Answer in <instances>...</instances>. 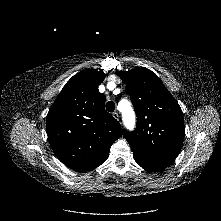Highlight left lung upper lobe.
Here are the masks:
<instances>
[{
    "label": "left lung upper lobe",
    "instance_id": "left-lung-upper-lobe-1",
    "mask_svg": "<svg viewBox=\"0 0 221 221\" xmlns=\"http://www.w3.org/2000/svg\"><path fill=\"white\" fill-rule=\"evenodd\" d=\"M131 97L137 124L125 132L133 152L155 161L172 163L184 138L182 110L158 76L147 68L119 72Z\"/></svg>",
    "mask_w": 221,
    "mask_h": 221
}]
</instances>
